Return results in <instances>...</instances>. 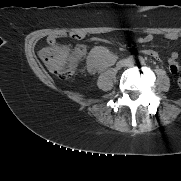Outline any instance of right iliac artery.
<instances>
[{
	"label": "right iliac artery",
	"instance_id": "right-iliac-artery-1",
	"mask_svg": "<svg viewBox=\"0 0 181 181\" xmlns=\"http://www.w3.org/2000/svg\"><path fill=\"white\" fill-rule=\"evenodd\" d=\"M127 61H128L129 63H134V62L136 61V58H135L134 56H129V57L127 58Z\"/></svg>",
	"mask_w": 181,
	"mask_h": 181
}]
</instances>
